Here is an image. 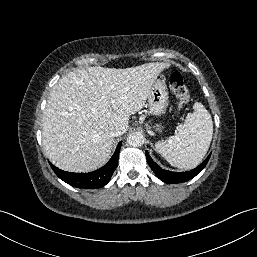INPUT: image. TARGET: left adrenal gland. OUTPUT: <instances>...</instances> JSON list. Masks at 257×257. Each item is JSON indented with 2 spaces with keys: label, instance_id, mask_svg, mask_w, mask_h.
Masks as SVG:
<instances>
[{
  "label": "left adrenal gland",
  "instance_id": "1",
  "mask_svg": "<svg viewBox=\"0 0 257 257\" xmlns=\"http://www.w3.org/2000/svg\"><path fill=\"white\" fill-rule=\"evenodd\" d=\"M150 144H151V146L154 148V146H153L152 142H151Z\"/></svg>",
  "mask_w": 257,
  "mask_h": 257
}]
</instances>
